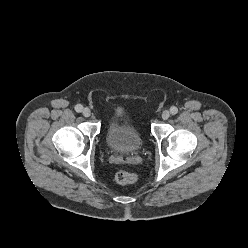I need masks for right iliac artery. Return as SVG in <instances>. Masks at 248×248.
I'll return each mask as SVG.
<instances>
[{"instance_id": "1", "label": "right iliac artery", "mask_w": 248, "mask_h": 248, "mask_svg": "<svg viewBox=\"0 0 248 248\" xmlns=\"http://www.w3.org/2000/svg\"><path fill=\"white\" fill-rule=\"evenodd\" d=\"M75 110H76L77 112H82L83 106H82L81 104H77V105L75 106Z\"/></svg>"}]
</instances>
